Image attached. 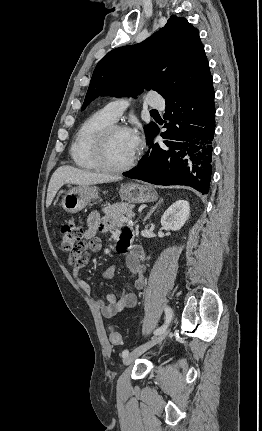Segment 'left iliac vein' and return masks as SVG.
<instances>
[{
	"mask_svg": "<svg viewBox=\"0 0 262 431\" xmlns=\"http://www.w3.org/2000/svg\"><path fill=\"white\" fill-rule=\"evenodd\" d=\"M171 328H166L162 333L159 335L154 336L150 341L136 347L134 350H132L124 359L125 365L132 364L138 357H140L143 353H145L148 349L152 348L156 344L162 342L170 333Z\"/></svg>",
	"mask_w": 262,
	"mask_h": 431,
	"instance_id": "1",
	"label": "left iliac vein"
}]
</instances>
